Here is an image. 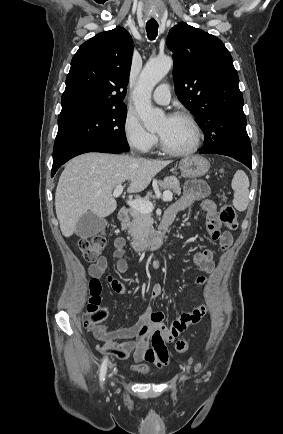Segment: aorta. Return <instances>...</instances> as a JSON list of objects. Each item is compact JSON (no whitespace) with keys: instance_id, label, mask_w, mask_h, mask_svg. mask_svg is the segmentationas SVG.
I'll return each instance as SVG.
<instances>
[{"instance_id":"obj_1","label":"aorta","mask_w":283,"mask_h":434,"mask_svg":"<svg viewBox=\"0 0 283 434\" xmlns=\"http://www.w3.org/2000/svg\"><path fill=\"white\" fill-rule=\"evenodd\" d=\"M172 65V58L167 56L150 59L144 66L134 89L135 109L145 128L149 131L156 130L164 118L162 110L153 108L151 93L154 87L166 76Z\"/></svg>"}]
</instances>
